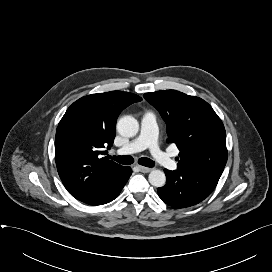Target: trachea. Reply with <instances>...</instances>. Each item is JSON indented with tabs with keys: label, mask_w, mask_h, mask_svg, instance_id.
Masks as SVG:
<instances>
[{
	"label": "trachea",
	"mask_w": 272,
	"mask_h": 272,
	"mask_svg": "<svg viewBox=\"0 0 272 272\" xmlns=\"http://www.w3.org/2000/svg\"><path fill=\"white\" fill-rule=\"evenodd\" d=\"M111 159L115 160L116 162L123 164V165H130L133 164L134 159L132 156H110ZM138 163L145 167H153L154 161L149 158L142 157L138 160Z\"/></svg>",
	"instance_id": "obj_1"
}]
</instances>
